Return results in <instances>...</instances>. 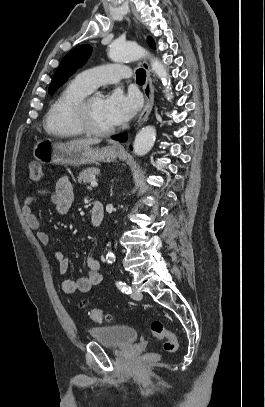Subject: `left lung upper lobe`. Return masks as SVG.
Segmentation results:
<instances>
[{
    "label": "left lung upper lobe",
    "instance_id": "obj_1",
    "mask_svg": "<svg viewBox=\"0 0 265 407\" xmlns=\"http://www.w3.org/2000/svg\"><path fill=\"white\" fill-rule=\"evenodd\" d=\"M148 43L152 48H155L154 41L151 37H148ZM92 48L90 45H81L71 50L61 61L57 68L52 82L49 85L48 92L52 94L61 85H63L67 79L78 69L90 56Z\"/></svg>",
    "mask_w": 265,
    "mask_h": 407
}]
</instances>
